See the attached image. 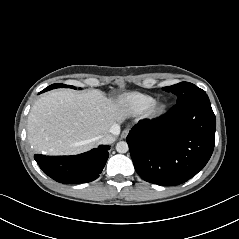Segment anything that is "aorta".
Returning a JSON list of instances; mask_svg holds the SVG:
<instances>
[{
    "label": "aorta",
    "mask_w": 239,
    "mask_h": 239,
    "mask_svg": "<svg viewBox=\"0 0 239 239\" xmlns=\"http://www.w3.org/2000/svg\"><path fill=\"white\" fill-rule=\"evenodd\" d=\"M128 150H129V147L125 141H120L116 144V151L118 153H126Z\"/></svg>",
    "instance_id": "1"
}]
</instances>
